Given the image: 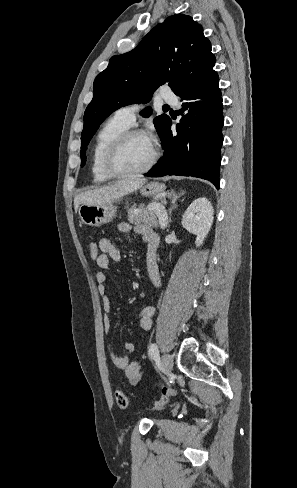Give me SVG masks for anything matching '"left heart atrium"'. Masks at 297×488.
Instances as JSON below:
<instances>
[{"label": "left heart atrium", "instance_id": "1", "mask_svg": "<svg viewBox=\"0 0 297 488\" xmlns=\"http://www.w3.org/2000/svg\"><path fill=\"white\" fill-rule=\"evenodd\" d=\"M148 139L150 140V142L155 145L156 142H157V139H156V136L153 134V133H150L147 135Z\"/></svg>", "mask_w": 297, "mask_h": 488}]
</instances>
